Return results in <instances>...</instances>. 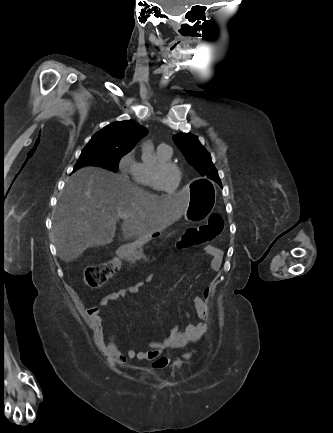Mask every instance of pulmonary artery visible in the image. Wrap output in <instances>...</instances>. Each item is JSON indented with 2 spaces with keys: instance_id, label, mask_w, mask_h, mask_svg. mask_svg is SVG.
I'll return each instance as SVG.
<instances>
[{
  "instance_id": "e3ab8cb5",
  "label": "pulmonary artery",
  "mask_w": 333,
  "mask_h": 433,
  "mask_svg": "<svg viewBox=\"0 0 333 433\" xmlns=\"http://www.w3.org/2000/svg\"><path fill=\"white\" fill-rule=\"evenodd\" d=\"M157 150H159V151H161V152H163V153H165L167 155H170V156L172 154L171 147L169 145H167V144H164V143L160 144L158 146Z\"/></svg>"
}]
</instances>
